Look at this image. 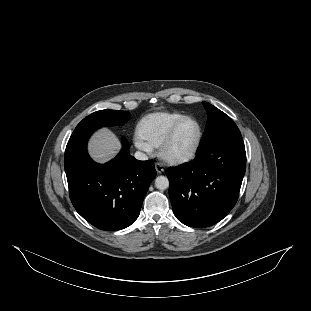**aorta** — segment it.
I'll list each match as a JSON object with an SVG mask.
<instances>
[{"label":"aorta","instance_id":"762f6f07","mask_svg":"<svg viewBox=\"0 0 311 311\" xmlns=\"http://www.w3.org/2000/svg\"><path fill=\"white\" fill-rule=\"evenodd\" d=\"M155 187L160 190H165L169 187V180L166 176H158L155 179Z\"/></svg>","mask_w":311,"mask_h":311}]
</instances>
